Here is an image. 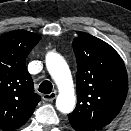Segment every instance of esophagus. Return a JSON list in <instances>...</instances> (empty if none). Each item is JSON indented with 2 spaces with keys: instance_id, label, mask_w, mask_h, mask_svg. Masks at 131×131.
<instances>
[{
  "instance_id": "obj_1",
  "label": "esophagus",
  "mask_w": 131,
  "mask_h": 131,
  "mask_svg": "<svg viewBox=\"0 0 131 131\" xmlns=\"http://www.w3.org/2000/svg\"><path fill=\"white\" fill-rule=\"evenodd\" d=\"M56 97H57V92L54 91V92H52V93H50V94H44L42 98H43L44 101L51 102V101H53Z\"/></svg>"
}]
</instances>
